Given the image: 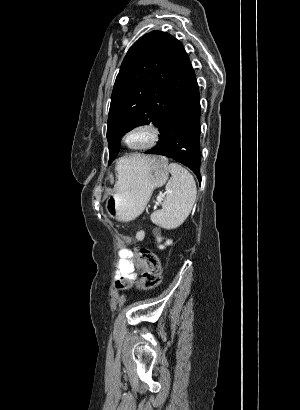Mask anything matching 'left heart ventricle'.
<instances>
[{
	"label": "left heart ventricle",
	"instance_id": "b2bd125f",
	"mask_svg": "<svg viewBox=\"0 0 300 410\" xmlns=\"http://www.w3.org/2000/svg\"><path fill=\"white\" fill-rule=\"evenodd\" d=\"M148 139V136L145 133L139 132L134 133L128 137V143L130 145H140Z\"/></svg>",
	"mask_w": 300,
	"mask_h": 410
}]
</instances>
